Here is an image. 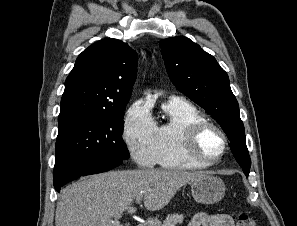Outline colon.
I'll use <instances>...</instances> for the list:
<instances>
[{"instance_id":"colon-1","label":"colon","mask_w":297,"mask_h":226,"mask_svg":"<svg viewBox=\"0 0 297 226\" xmlns=\"http://www.w3.org/2000/svg\"><path fill=\"white\" fill-rule=\"evenodd\" d=\"M237 226H257V222L251 215L241 213L238 216Z\"/></svg>"}]
</instances>
